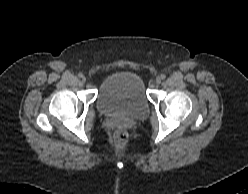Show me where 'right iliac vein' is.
I'll return each instance as SVG.
<instances>
[{
	"instance_id": "1",
	"label": "right iliac vein",
	"mask_w": 248,
	"mask_h": 194,
	"mask_svg": "<svg viewBox=\"0 0 248 194\" xmlns=\"http://www.w3.org/2000/svg\"><path fill=\"white\" fill-rule=\"evenodd\" d=\"M82 81L85 82L86 81V78L85 77H82Z\"/></svg>"
}]
</instances>
